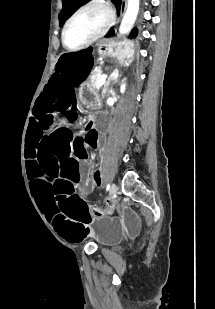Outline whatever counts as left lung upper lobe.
<instances>
[{
    "mask_svg": "<svg viewBox=\"0 0 215 309\" xmlns=\"http://www.w3.org/2000/svg\"><path fill=\"white\" fill-rule=\"evenodd\" d=\"M86 0H63V10L60 13V24L62 25L64 21L69 17V15L83 2ZM117 7V13H120L121 0H113ZM114 31H111L107 36H113ZM131 36L136 37L137 31L133 29Z\"/></svg>",
    "mask_w": 215,
    "mask_h": 309,
    "instance_id": "obj_1",
    "label": "left lung upper lobe"
}]
</instances>
